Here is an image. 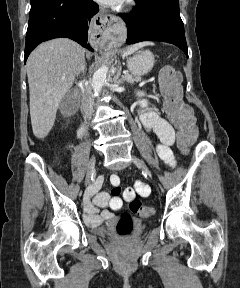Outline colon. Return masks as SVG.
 Wrapping results in <instances>:
<instances>
[{
    "label": "colon",
    "instance_id": "obj_1",
    "mask_svg": "<svg viewBox=\"0 0 240 288\" xmlns=\"http://www.w3.org/2000/svg\"><path fill=\"white\" fill-rule=\"evenodd\" d=\"M180 74L172 67L162 68L159 74L160 92L163 97V108L171 123L178 129V142L180 146L187 149L196 138V128L191 109L182 101ZM129 202V210L142 218H148L154 214V209L143 205L134 198L132 191L124 193ZM132 230V220L128 215H123L118 224L119 234H128Z\"/></svg>",
    "mask_w": 240,
    "mask_h": 288
}]
</instances>
